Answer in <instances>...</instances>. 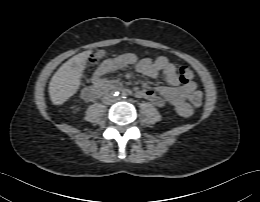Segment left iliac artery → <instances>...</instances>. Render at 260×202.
Wrapping results in <instances>:
<instances>
[{
	"mask_svg": "<svg viewBox=\"0 0 260 202\" xmlns=\"http://www.w3.org/2000/svg\"><path fill=\"white\" fill-rule=\"evenodd\" d=\"M127 96H128V92H127V91H123V92H122V97H123V98H126Z\"/></svg>",
	"mask_w": 260,
	"mask_h": 202,
	"instance_id": "1",
	"label": "left iliac artery"
}]
</instances>
